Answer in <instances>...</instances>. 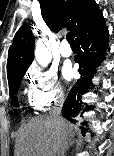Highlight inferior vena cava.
<instances>
[{"label":"inferior vena cava","mask_w":114,"mask_h":156,"mask_svg":"<svg viewBox=\"0 0 114 156\" xmlns=\"http://www.w3.org/2000/svg\"><path fill=\"white\" fill-rule=\"evenodd\" d=\"M64 100L65 99H64L63 92L57 93L54 106L49 112L50 117L53 118L57 122L61 120L60 113H61L62 106L64 104ZM65 142L66 141H64L63 144L61 145L60 153L58 154V156H65V150H66Z\"/></svg>","instance_id":"inferior-vena-cava-1"}]
</instances>
